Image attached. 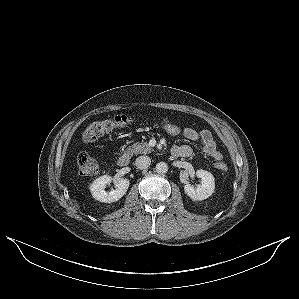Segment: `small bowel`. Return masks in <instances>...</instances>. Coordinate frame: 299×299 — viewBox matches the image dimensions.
I'll return each instance as SVG.
<instances>
[{"instance_id":"obj_1","label":"small bowel","mask_w":299,"mask_h":299,"mask_svg":"<svg viewBox=\"0 0 299 299\" xmlns=\"http://www.w3.org/2000/svg\"><path fill=\"white\" fill-rule=\"evenodd\" d=\"M184 137L191 141H199L203 146V151L213 158L215 161H221L222 153L217 149L213 136L208 130L197 131L194 128H184ZM173 154L181 157H189L192 155V148L188 145L175 146L172 150Z\"/></svg>"}]
</instances>
